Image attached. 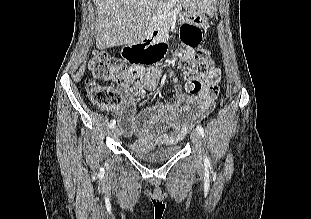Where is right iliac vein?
<instances>
[{
	"mask_svg": "<svg viewBox=\"0 0 311 219\" xmlns=\"http://www.w3.org/2000/svg\"><path fill=\"white\" fill-rule=\"evenodd\" d=\"M111 135L114 139H118L119 135H120V131L119 128L117 126H114L111 130Z\"/></svg>",
	"mask_w": 311,
	"mask_h": 219,
	"instance_id": "right-iliac-vein-1",
	"label": "right iliac vein"
}]
</instances>
